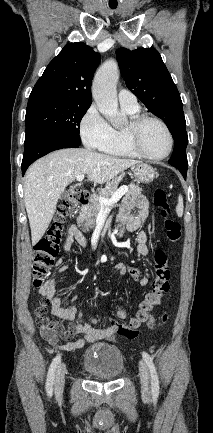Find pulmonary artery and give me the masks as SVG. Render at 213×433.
Segmentation results:
<instances>
[{
    "instance_id": "1",
    "label": "pulmonary artery",
    "mask_w": 213,
    "mask_h": 433,
    "mask_svg": "<svg viewBox=\"0 0 213 433\" xmlns=\"http://www.w3.org/2000/svg\"><path fill=\"white\" fill-rule=\"evenodd\" d=\"M118 100L121 106L130 109L139 108L136 96L127 89H120L118 92Z\"/></svg>"
}]
</instances>
